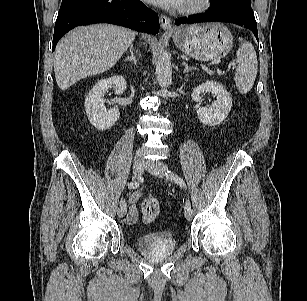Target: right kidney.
I'll return each mask as SVG.
<instances>
[{
    "label": "right kidney",
    "instance_id": "right-kidney-1",
    "mask_svg": "<svg viewBox=\"0 0 307 301\" xmlns=\"http://www.w3.org/2000/svg\"><path fill=\"white\" fill-rule=\"evenodd\" d=\"M114 85L115 93L122 95L126 90V80L121 75H115L99 80L89 91L85 98V110L90 123L98 130H106L112 127L120 117L117 106L110 110L104 107V94L109 87Z\"/></svg>",
    "mask_w": 307,
    "mask_h": 301
}]
</instances>
